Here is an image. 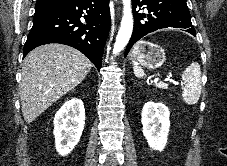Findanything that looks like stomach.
I'll use <instances>...</instances> for the list:
<instances>
[{"label":"stomach","mask_w":227,"mask_h":166,"mask_svg":"<svg viewBox=\"0 0 227 166\" xmlns=\"http://www.w3.org/2000/svg\"><path fill=\"white\" fill-rule=\"evenodd\" d=\"M165 58V51L162 47L147 41L138 42L131 53V59L136 61V64H140L148 69L162 66Z\"/></svg>","instance_id":"1"}]
</instances>
